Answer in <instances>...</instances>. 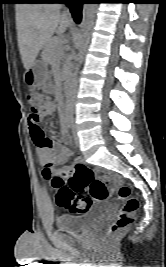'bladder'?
Returning a JSON list of instances; mask_svg holds the SVG:
<instances>
[{"label": "bladder", "instance_id": "bladder-1", "mask_svg": "<svg viewBox=\"0 0 166 267\" xmlns=\"http://www.w3.org/2000/svg\"><path fill=\"white\" fill-rule=\"evenodd\" d=\"M97 213L79 215L63 214L56 218V227L61 231L81 232L90 228L97 221Z\"/></svg>", "mask_w": 166, "mask_h": 267}]
</instances>
